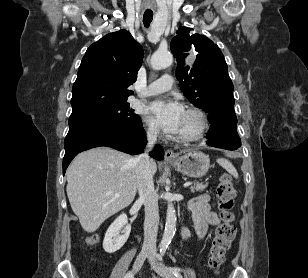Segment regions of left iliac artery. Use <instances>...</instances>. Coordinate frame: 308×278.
Wrapping results in <instances>:
<instances>
[{
    "mask_svg": "<svg viewBox=\"0 0 308 278\" xmlns=\"http://www.w3.org/2000/svg\"><path fill=\"white\" fill-rule=\"evenodd\" d=\"M165 249H161L160 251V257H162L165 254ZM168 269L177 277V278H182L180 272L182 271L181 268L179 267H168Z\"/></svg>",
    "mask_w": 308,
    "mask_h": 278,
    "instance_id": "left-iliac-artery-1",
    "label": "left iliac artery"
}]
</instances>
